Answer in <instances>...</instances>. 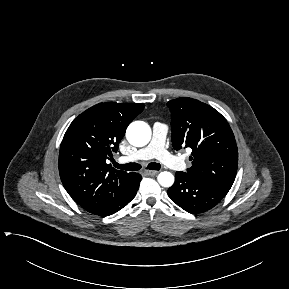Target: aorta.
<instances>
[{"mask_svg": "<svg viewBox=\"0 0 289 289\" xmlns=\"http://www.w3.org/2000/svg\"><path fill=\"white\" fill-rule=\"evenodd\" d=\"M151 128L143 121L132 122L126 131L128 142L135 147L147 145L151 139ZM158 183L163 187H171L174 183V176L168 171L160 172L157 177Z\"/></svg>", "mask_w": 289, "mask_h": 289, "instance_id": "obj_1", "label": "aorta"}]
</instances>
